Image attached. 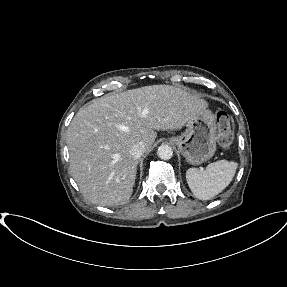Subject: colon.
<instances>
[{
    "instance_id": "colon-1",
    "label": "colon",
    "mask_w": 287,
    "mask_h": 287,
    "mask_svg": "<svg viewBox=\"0 0 287 287\" xmlns=\"http://www.w3.org/2000/svg\"><path fill=\"white\" fill-rule=\"evenodd\" d=\"M217 126V139L220 147L225 150L230 149L234 143V132L230 116L224 110L219 111L217 114Z\"/></svg>"
}]
</instances>
